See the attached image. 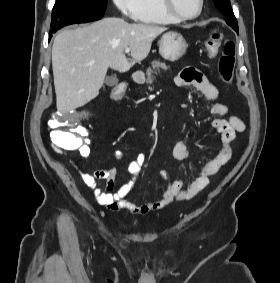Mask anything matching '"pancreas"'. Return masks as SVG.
Masks as SVG:
<instances>
[{"mask_svg": "<svg viewBox=\"0 0 280 283\" xmlns=\"http://www.w3.org/2000/svg\"><path fill=\"white\" fill-rule=\"evenodd\" d=\"M160 69L162 70H167L168 67L164 62H160L158 60L152 61L151 66L147 68L146 75H147V80L146 83L151 85L153 84L155 80L154 74L160 73ZM149 90H152V88L149 86Z\"/></svg>", "mask_w": 280, "mask_h": 283, "instance_id": "1", "label": "pancreas"}]
</instances>
